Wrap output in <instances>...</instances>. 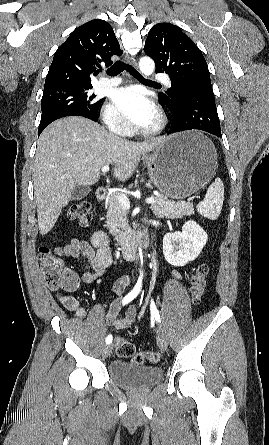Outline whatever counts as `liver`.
<instances>
[{"mask_svg":"<svg viewBox=\"0 0 269 445\" xmlns=\"http://www.w3.org/2000/svg\"><path fill=\"white\" fill-rule=\"evenodd\" d=\"M166 138L129 142L78 116L49 125L39 137L33 168L40 234L45 235L53 228L75 185L95 184L100 169L110 164L114 165L113 176L126 181L141 155L161 145Z\"/></svg>","mask_w":269,"mask_h":445,"instance_id":"1","label":"liver"}]
</instances>
